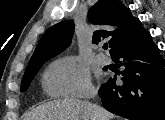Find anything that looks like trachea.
<instances>
[{
	"label": "trachea",
	"mask_w": 165,
	"mask_h": 120,
	"mask_svg": "<svg viewBox=\"0 0 165 120\" xmlns=\"http://www.w3.org/2000/svg\"><path fill=\"white\" fill-rule=\"evenodd\" d=\"M107 48H108V45H104V46H103V49L106 50Z\"/></svg>",
	"instance_id": "obj_1"
}]
</instances>
